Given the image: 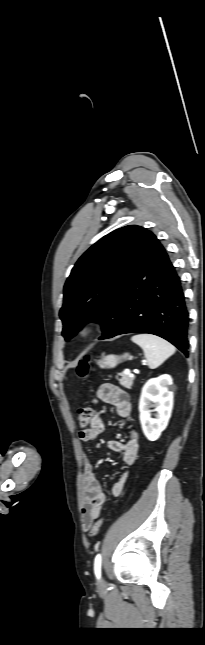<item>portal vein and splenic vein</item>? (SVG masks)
<instances>
[{
	"label": "portal vein and splenic vein",
	"instance_id": "18ae733b",
	"mask_svg": "<svg viewBox=\"0 0 205 645\" xmlns=\"http://www.w3.org/2000/svg\"><path fill=\"white\" fill-rule=\"evenodd\" d=\"M124 373H125V374H127V375H130V374H131L129 369H126V370L124 371Z\"/></svg>",
	"mask_w": 205,
	"mask_h": 645
}]
</instances>
